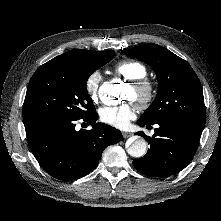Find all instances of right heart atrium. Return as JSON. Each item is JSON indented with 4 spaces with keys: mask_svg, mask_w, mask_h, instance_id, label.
Returning <instances> with one entry per match:
<instances>
[{
    "mask_svg": "<svg viewBox=\"0 0 221 221\" xmlns=\"http://www.w3.org/2000/svg\"><path fill=\"white\" fill-rule=\"evenodd\" d=\"M102 80L103 77L99 71L91 72L85 80V90L93 101H96L98 99Z\"/></svg>",
    "mask_w": 221,
    "mask_h": 221,
    "instance_id": "1",
    "label": "right heart atrium"
}]
</instances>
